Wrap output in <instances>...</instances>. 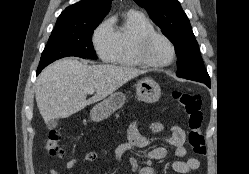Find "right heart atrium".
I'll use <instances>...</instances> for the list:
<instances>
[{"instance_id": "1", "label": "right heart atrium", "mask_w": 249, "mask_h": 174, "mask_svg": "<svg viewBox=\"0 0 249 174\" xmlns=\"http://www.w3.org/2000/svg\"><path fill=\"white\" fill-rule=\"evenodd\" d=\"M92 43L98 56L110 62L116 52V37L109 21L102 22L94 31Z\"/></svg>"}]
</instances>
